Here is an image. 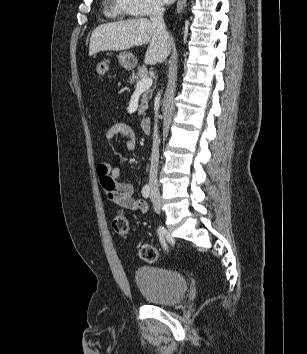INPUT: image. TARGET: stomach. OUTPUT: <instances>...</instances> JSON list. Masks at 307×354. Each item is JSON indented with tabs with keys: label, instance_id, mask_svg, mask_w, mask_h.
<instances>
[{
	"label": "stomach",
	"instance_id": "0dacf381",
	"mask_svg": "<svg viewBox=\"0 0 307 354\" xmlns=\"http://www.w3.org/2000/svg\"><path fill=\"white\" fill-rule=\"evenodd\" d=\"M119 64L126 70H132L137 65L136 57L129 52H122L118 55Z\"/></svg>",
	"mask_w": 307,
	"mask_h": 354
}]
</instances>
